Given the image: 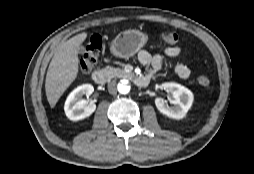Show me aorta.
Returning <instances> with one entry per match:
<instances>
[{
	"instance_id": "762f6f07",
	"label": "aorta",
	"mask_w": 254,
	"mask_h": 174,
	"mask_svg": "<svg viewBox=\"0 0 254 174\" xmlns=\"http://www.w3.org/2000/svg\"><path fill=\"white\" fill-rule=\"evenodd\" d=\"M117 89H118L119 93H121V94H127L130 91V85H129L127 80H122L118 84Z\"/></svg>"
}]
</instances>
